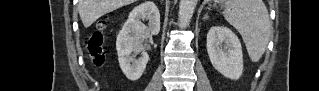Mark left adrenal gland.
<instances>
[{"label": "left adrenal gland", "instance_id": "1", "mask_svg": "<svg viewBox=\"0 0 319 91\" xmlns=\"http://www.w3.org/2000/svg\"><path fill=\"white\" fill-rule=\"evenodd\" d=\"M208 18H209L208 14H205L204 17H203V20H206Z\"/></svg>", "mask_w": 319, "mask_h": 91}]
</instances>
